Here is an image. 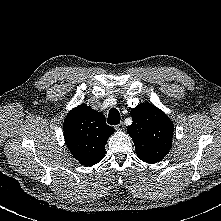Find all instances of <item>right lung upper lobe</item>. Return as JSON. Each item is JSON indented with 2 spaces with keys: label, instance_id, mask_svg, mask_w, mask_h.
<instances>
[{
  "label": "right lung upper lobe",
  "instance_id": "1",
  "mask_svg": "<svg viewBox=\"0 0 221 221\" xmlns=\"http://www.w3.org/2000/svg\"><path fill=\"white\" fill-rule=\"evenodd\" d=\"M113 133L104 115L86 104L72 109L64 120L66 145L85 166H93L105 157V144Z\"/></svg>",
  "mask_w": 221,
  "mask_h": 221
}]
</instances>
